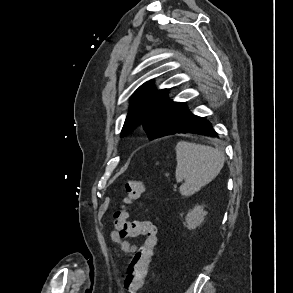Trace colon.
I'll use <instances>...</instances> for the list:
<instances>
[{
	"instance_id": "obj_1",
	"label": "colon",
	"mask_w": 293,
	"mask_h": 293,
	"mask_svg": "<svg viewBox=\"0 0 293 293\" xmlns=\"http://www.w3.org/2000/svg\"><path fill=\"white\" fill-rule=\"evenodd\" d=\"M126 198L121 210L116 213V228L122 237H143L141 245L133 252L124 276V287L128 293H137L147 273L149 262L158 244L156 226L149 220L129 221V208L144 191L140 180L130 179L125 183Z\"/></svg>"
}]
</instances>
